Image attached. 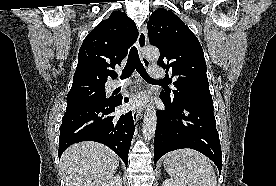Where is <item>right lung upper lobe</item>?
<instances>
[{
  "instance_id": "cb5924a9",
  "label": "right lung upper lobe",
  "mask_w": 276,
  "mask_h": 186,
  "mask_svg": "<svg viewBox=\"0 0 276 186\" xmlns=\"http://www.w3.org/2000/svg\"><path fill=\"white\" fill-rule=\"evenodd\" d=\"M137 37L135 22L124 12H112L84 39L71 89L83 85H105L108 77L115 78L112 69L120 65Z\"/></svg>"
}]
</instances>
